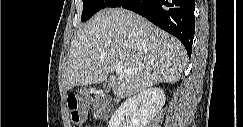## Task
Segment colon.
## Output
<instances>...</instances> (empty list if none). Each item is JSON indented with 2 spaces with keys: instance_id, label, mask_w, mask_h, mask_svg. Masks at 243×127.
<instances>
[{
  "instance_id": "obj_1",
  "label": "colon",
  "mask_w": 243,
  "mask_h": 127,
  "mask_svg": "<svg viewBox=\"0 0 243 127\" xmlns=\"http://www.w3.org/2000/svg\"><path fill=\"white\" fill-rule=\"evenodd\" d=\"M67 106L70 110L71 122L74 127L84 126V113L87 108L79 93H70L67 96ZM97 114L101 117H107V113L102 106H99Z\"/></svg>"
}]
</instances>
